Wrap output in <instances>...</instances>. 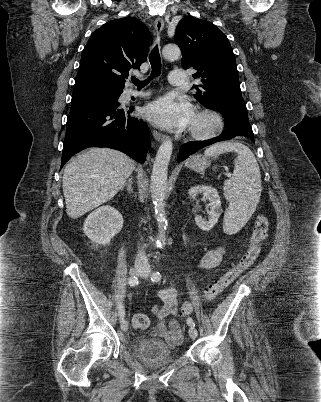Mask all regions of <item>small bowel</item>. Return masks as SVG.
<instances>
[{
  "mask_svg": "<svg viewBox=\"0 0 321 402\" xmlns=\"http://www.w3.org/2000/svg\"><path fill=\"white\" fill-rule=\"evenodd\" d=\"M224 257V249L216 247L206 252L199 260L202 269H213L217 267ZM158 297L161 301L160 306H154L152 313L158 320L153 327V333L157 337L163 338L171 345L178 344L182 339L181 327L175 319L167 321L170 316H175L178 311L177 291L173 287L159 290Z\"/></svg>",
  "mask_w": 321,
  "mask_h": 402,
  "instance_id": "c3829d8e",
  "label": "small bowel"
}]
</instances>
